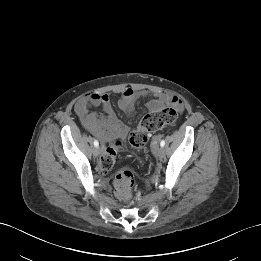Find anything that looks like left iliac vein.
Wrapping results in <instances>:
<instances>
[{
	"instance_id": "1",
	"label": "left iliac vein",
	"mask_w": 261,
	"mask_h": 261,
	"mask_svg": "<svg viewBox=\"0 0 261 261\" xmlns=\"http://www.w3.org/2000/svg\"><path fill=\"white\" fill-rule=\"evenodd\" d=\"M155 154H156V156L158 157V158H163L164 157V154H165V152H164V148L163 147H156L155 148Z\"/></svg>"
}]
</instances>
